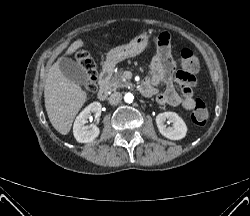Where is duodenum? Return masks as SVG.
I'll list each match as a JSON object with an SVG mask.
<instances>
[{"label":"duodenum","mask_w":250,"mask_h":216,"mask_svg":"<svg viewBox=\"0 0 250 216\" xmlns=\"http://www.w3.org/2000/svg\"><path fill=\"white\" fill-rule=\"evenodd\" d=\"M110 65L104 64L102 66L100 75H99V90H98V98L100 100H105L109 94V87L107 84V77L110 73Z\"/></svg>","instance_id":"duodenum-1"}]
</instances>
